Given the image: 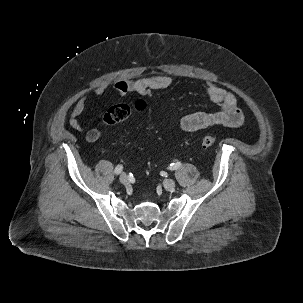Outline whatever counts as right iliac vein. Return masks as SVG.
Masks as SVG:
<instances>
[{
    "label": "right iliac vein",
    "mask_w": 303,
    "mask_h": 303,
    "mask_svg": "<svg viewBox=\"0 0 303 303\" xmlns=\"http://www.w3.org/2000/svg\"><path fill=\"white\" fill-rule=\"evenodd\" d=\"M119 180L122 184L126 185L128 183V176L125 173H122Z\"/></svg>",
    "instance_id": "right-iliac-vein-1"
}]
</instances>
